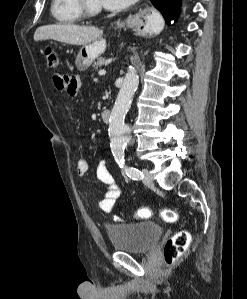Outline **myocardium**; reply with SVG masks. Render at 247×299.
Instances as JSON below:
<instances>
[{"instance_id": "1", "label": "myocardium", "mask_w": 247, "mask_h": 299, "mask_svg": "<svg viewBox=\"0 0 247 299\" xmlns=\"http://www.w3.org/2000/svg\"><path fill=\"white\" fill-rule=\"evenodd\" d=\"M82 15L85 17H94L101 13L100 5H94L90 0H77Z\"/></svg>"}]
</instances>
